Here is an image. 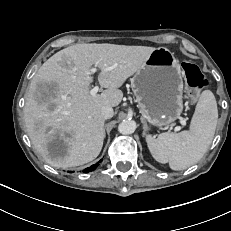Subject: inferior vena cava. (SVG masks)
<instances>
[{"label":"inferior vena cava","instance_id":"obj_1","mask_svg":"<svg viewBox=\"0 0 231 231\" xmlns=\"http://www.w3.org/2000/svg\"><path fill=\"white\" fill-rule=\"evenodd\" d=\"M114 111L112 107L109 106H104L101 109V116L103 117V119H110L111 117H113Z\"/></svg>","mask_w":231,"mask_h":231}]
</instances>
